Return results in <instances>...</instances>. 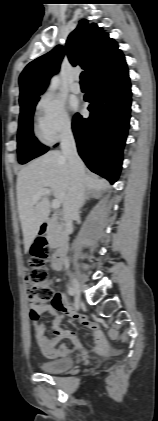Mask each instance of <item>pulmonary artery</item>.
Here are the masks:
<instances>
[{
    "label": "pulmonary artery",
    "instance_id": "1",
    "mask_svg": "<svg viewBox=\"0 0 158 421\" xmlns=\"http://www.w3.org/2000/svg\"><path fill=\"white\" fill-rule=\"evenodd\" d=\"M71 91L75 94H78L81 92V86L79 84L78 78H76L74 83L72 84Z\"/></svg>",
    "mask_w": 158,
    "mask_h": 421
}]
</instances>
